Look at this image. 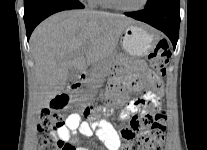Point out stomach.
Wrapping results in <instances>:
<instances>
[{"instance_id": "stomach-1", "label": "stomach", "mask_w": 207, "mask_h": 150, "mask_svg": "<svg viewBox=\"0 0 207 150\" xmlns=\"http://www.w3.org/2000/svg\"><path fill=\"white\" fill-rule=\"evenodd\" d=\"M121 39L124 53L133 59H141L153 50L156 32L144 24L135 23L124 30ZM115 89V86L108 85L107 93H113Z\"/></svg>"}]
</instances>
